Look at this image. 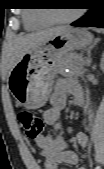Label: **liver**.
<instances>
[{
	"label": "liver",
	"mask_w": 104,
	"mask_h": 169,
	"mask_svg": "<svg viewBox=\"0 0 104 169\" xmlns=\"http://www.w3.org/2000/svg\"><path fill=\"white\" fill-rule=\"evenodd\" d=\"M68 26H57L52 27L24 35H19L15 41L12 48L10 64H9V73L13 67L22 59V57L40 45H42L46 40L52 38L53 36L68 30Z\"/></svg>",
	"instance_id": "obj_1"
}]
</instances>
